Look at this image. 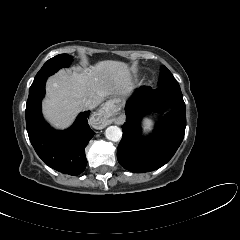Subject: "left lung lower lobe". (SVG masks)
<instances>
[{"mask_svg":"<svg viewBox=\"0 0 240 240\" xmlns=\"http://www.w3.org/2000/svg\"><path fill=\"white\" fill-rule=\"evenodd\" d=\"M165 98L167 100L162 102ZM169 107L172 111L161 118L151 138L144 140L145 143L139 141L142 115L148 111L162 113ZM125 111L123 137L117 149L118 162L136 173L160 168L175 154L185 134L186 111L180 86L141 87L127 101Z\"/></svg>","mask_w":240,"mask_h":240,"instance_id":"1","label":"left lung lower lobe"}]
</instances>
